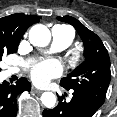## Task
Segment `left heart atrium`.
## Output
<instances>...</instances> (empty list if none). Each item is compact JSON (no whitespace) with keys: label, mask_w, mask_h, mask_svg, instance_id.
Segmentation results:
<instances>
[{"label":"left heart atrium","mask_w":117,"mask_h":117,"mask_svg":"<svg viewBox=\"0 0 117 117\" xmlns=\"http://www.w3.org/2000/svg\"><path fill=\"white\" fill-rule=\"evenodd\" d=\"M62 71V65L55 59L34 62L29 66L30 76L38 85L47 84L51 79L60 76Z\"/></svg>","instance_id":"39dd6f15"}]
</instances>
